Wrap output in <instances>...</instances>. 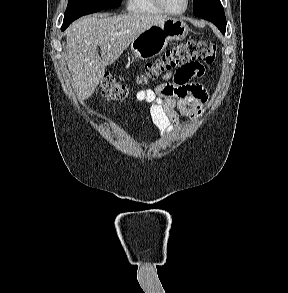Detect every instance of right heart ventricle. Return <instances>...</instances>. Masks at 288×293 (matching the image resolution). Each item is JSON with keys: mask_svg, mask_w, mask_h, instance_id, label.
I'll return each mask as SVG.
<instances>
[{"mask_svg": "<svg viewBox=\"0 0 288 293\" xmlns=\"http://www.w3.org/2000/svg\"><path fill=\"white\" fill-rule=\"evenodd\" d=\"M127 9L132 13L163 14L154 0H127Z\"/></svg>", "mask_w": 288, "mask_h": 293, "instance_id": "right-heart-ventricle-1", "label": "right heart ventricle"}]
</instances>
